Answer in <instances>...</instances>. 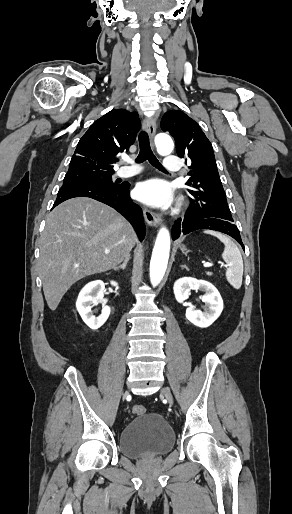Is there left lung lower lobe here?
Returning a JSON list of instances; mask_svg holds the SVG:
<instances>
[{
	"mask_svg": "<svg viewBox=\"0 0 292 514\" xmlns=\"http://www.w3.org/2000/svg\"><path fill=\"white\" fill-rule=\"evenodd\" d=\"M198 229H210L223 232L233 237L244 249L241 236L231 214L205 213L202 205L190 199V206L184 218L177 219L172 227V239H177L180 234H188Z\"/></svg>",
	"mask_w": 292,
	"mask_h": 514,
	"instance_id": "1",
	"label": "left lung lower lobe"
}]
</instances>
